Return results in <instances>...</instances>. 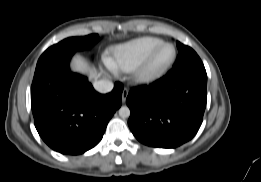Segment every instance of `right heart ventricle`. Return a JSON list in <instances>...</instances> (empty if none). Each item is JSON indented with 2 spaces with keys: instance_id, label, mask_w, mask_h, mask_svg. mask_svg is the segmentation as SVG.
I'll return each instance as SVG.
<instances>
[{
  "instance_id": "1",
  "label": "right heart ventricle",
  "mask_w": 261,
  "mask_h": 182,
  "mask_svg": "<svg viewBox=\"0 0 261 182\" xmlns=\"http://www.w3.org/2000/svg\"><path fill=\"white\" fill-rule=\"evenodd\" d=\"M163 40L157 37H140L111 49L109 64L122 71L137 67Z\"/></svg>"
}]
</instances>
